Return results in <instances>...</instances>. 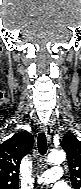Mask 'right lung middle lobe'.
<instances>
[{
  "instance_id": "obj_1",
  "label": "right lung middle lobe",
  "mask_w": 81,
  "mask_h": 189,
  "mask_svg": "<svg viewBox=\"0 0 81 189\" xmlns=\"http://www.w3.org/2000/svg\"><path fill=\"white\" fill-rule=\"evenodd\" d=\"M1 189H18V187H16V186H6V187H2Z\"/></svg>"
}]
</instances>
